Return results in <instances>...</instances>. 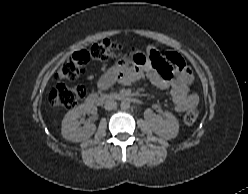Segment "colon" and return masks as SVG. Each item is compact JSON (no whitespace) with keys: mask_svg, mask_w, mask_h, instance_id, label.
I'll list each match as a JSON object with an SVG mask.
<instances>
[{"mask_svg":"<svg viewBox=\"0 0 248 194\" xmlns=\"http://www.w3.org/2000/svg\"><path fill=\"white\" fill-rule=\"evenodd\" d=\"M145 54L138 48H126L109 40L95 43L88 50H80L68 57L57 71L58 83L51 89L49 103L54 107L73 108L85 96L86 90L82 86H70L68 82L76 79L86 71L90 60H135L138 56ZM150 58L161 64L160 54L157 50L150 52ZM198 118L195 108L189 109L183 116L186 125H193Z\"/></svg>","mask_w":248,"mask_h":194,"instance_id":"1","label":"colon"}]
</instances>
